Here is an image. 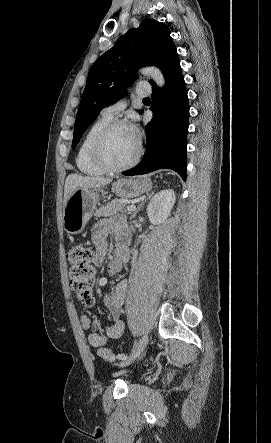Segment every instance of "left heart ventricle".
Returning <instances> with one entry per match:
<instances>
[{
	"label": "left heart ventricle",
	"instance_id": "obj_1",
	"mask_svg": "<svg viewBox=\"0 0 271 443\" xmlns=\"http://www.w3.org/2000/svg\"><path fill=\"white\" fill-rule=\"evenodd\" d=\"M137 141L134 131L125 126L117 127L107 139L105 153L113 165L126 163L135 153Z\"/></svg>",
	"mask_w": 271,
	"mask_h": 443
}]
</instances>
